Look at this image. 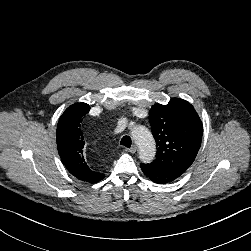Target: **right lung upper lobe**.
<instances>
[{"instance_id":"obj_1","label":"right lung upper lobe","mask_w":251,"mask_h":251,"mask_svg":"<svg viewBox=\"0 0 251 251\" xmlns=\"http://www.w3.org/2000/svg\"><path fill=\"white\" fill-rule=\"evenodd\" d=\"M89 110L90 106L86 103H75L68 107L59 119L56 139L60 158L69 172L79 180L96 183L104 175L87 165L84 158L85 141L80 127Z\"/></svg>"}]
</instances>
